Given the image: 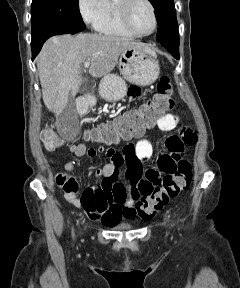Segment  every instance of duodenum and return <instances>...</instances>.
Here are the masks:
<instances>
[{
    "mask_svg": "<svg viewBox=\"0 0 240 288\" xmlns=\"http://www.w3.org/2000/svg\"><path fill=\"white\" fill-rule=\"evenodd\" d=\"M90 98L82 97L78 100L77 109L80 114H85L89 110Z\"/></svg>",
    "mask_w": 240,
    "mask_h": 288,
    "instance_id": "obj_1",
    "label": "duodenum"
}]
</instances>
